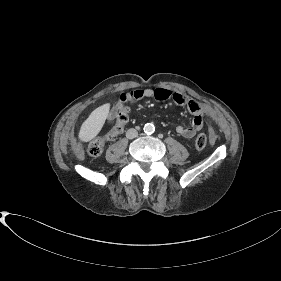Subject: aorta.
Returning a JSON list of instances; mask_svg holds the SVG:
<instances>
[{
  "mask_svg": "<svg viewBox=\"0 0 281 281\" xmlns=\"http://www.w3.org/2000/svg\"><path fill=\"white\" fill-rule=\"evenodd\" d=\"M143 129L146 134H152L155 131V126L152 123H147Z\"/></svg>",
  "mask_w": 281,
  "mask_h": 281,
  "instance_id": "obj_1",
  "label": "aorta"
}]
</instances>
